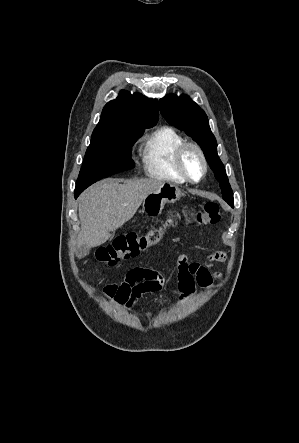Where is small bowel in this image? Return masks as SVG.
I'll use <instances>...</instances> for the list:
<instances>
[{"mask_svg": "<svg viewBox=\"0 0 299 443\" xmlns=\"http://www.w3.org/2000/svg\"><path fill=\"white\" fill-rule=\"evenodd\" d=\"M209 262H224L226 254L222 251L208 256ZM177 282L181 300L189 298L196 284L209 288L213 279L219 278L220 273L211 272L205 265L190 262L186 255L177 257ZM165 284V278L158 271L149 268H134L120 282L107 286L105 294L128 310L134 308L136 302L145 294L160 292Z\"/></svg>", "mask_w": 299, "mask_h": 443, "instance_id": "c3829d8e", "label": "small bowel"}]
</instances>
